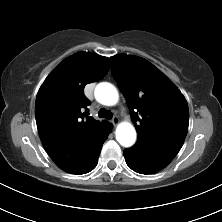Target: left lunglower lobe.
Returning a JSON list of instances; mask_svg holds the SVG:
<instances>
[{"instance_id":"obj_1","label":"left lung lower lobe","mask_w":222,"mask_h":222,"mask_svg":"<svg viewBox=\"0 0 222 222\" xmlns=\"http://www.w3.org/2000/svg\"><path fill=\"white\" fill-rule=\"evenodd\" d=\"M123 153H124L127 165L137 173L152 174L163 169L131 155L126 150H124Z\"/></svg>"}]
</instances>
